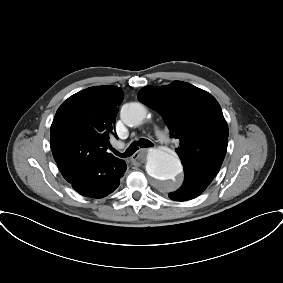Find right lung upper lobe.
<instances>
[{
  "instance_id": "obj_1",
  "label": "right lung upper lobe",
  "mask_w": 283,
  "mask_h": 283,
  "mask_svg": "<svg viewBox=\"0 0 283 283\" xmlns=\"http://www.w3.org/2000/svg\"><path fill=\"white\" fill-rule=\"evenodd\" d=\"M124 97L116 86H95L69 97L51 125V149L63 177L72 183L102 162L122 163L107 149L116 138L115 119Z\"/></svg>"
}]
</instances>
